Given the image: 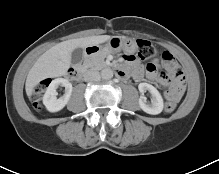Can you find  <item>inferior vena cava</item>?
Listing matches in <instances>:
<instances>
[{
  "mask_svg": "<svg viewBox=\"0 0 219 174\" xmlns=\"http://www.w3.org/2000/svg\"><path fill=\"white\" fill-rule=\"evenodd\" d=\"M101 78L100 73L96 70H88L84 74V81L86 82H96L99 81Z\"/></svg>",
  "mask_w": 219,
  "mask_h": 174,
  "instance_id": "602c4592",
  "label": "inferior vena cava"
}]
</instances>
